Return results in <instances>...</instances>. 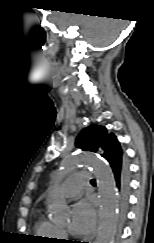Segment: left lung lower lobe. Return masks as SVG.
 <instances>
[{
    "mask_svg": "<svg viewBox=\"0 0 154 243\" xmlns=\"http://www.w3.org/2000/svg\"><path fill=\"white\" fill-rule=\"evenodd\" d=\"M110 165L112 167L115 183L118 188L121 219L124 220L130 191L129 167L125 157H123L121 161H119V159L112 160Z\"/></svg>",
    "mask_w": 154,
    "mask_h": 243,
    "instance_id": "left-lung-lower-lobe-1",
    "label": "left lung lower lobe"
}]
</instances>
